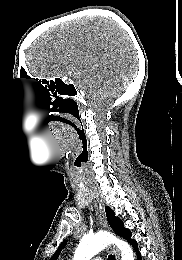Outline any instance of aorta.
Here are the masks:
<instances>
[{
    "label": "aorta",
    "instance_id": "obj_1",
    "mask_svg": "<svg viewBox=\"0 0 182 260\" xmlns=\"http://www.w3.org/2000/svg\"><path fill=\"white\" fill-rule=\"evenodd\" d=\"M111 243H115L120 249L121 260H134L133 251L129 244L108 233H97L93 236L83 237L75 250L73 260H90Z\"/></svg>",
    "mask_w": 182,
    "mask_h": 260
}]
</instances>
